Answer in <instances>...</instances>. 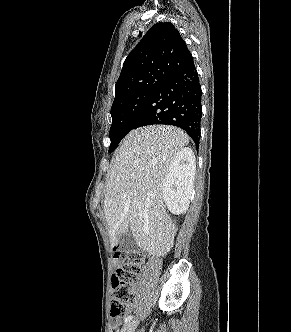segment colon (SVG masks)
<instances>
[{
    "label": "colon",
    "instance_id": "obj_1",
    "mask_svg": "<svg viewBox=\"0 0 291 332\" xmlns=\"http://www.w3.org/2000/svg\"><path fill=\"white\" fill-rule=\"evenodd\" d=\"M115 257L122 262L112 276L110 315L119 321L133 304L144 257L131 249L119 250Z\"/></svg>",
    "mask_w": 291,
    "mask_h": 332
}]
</instances>
